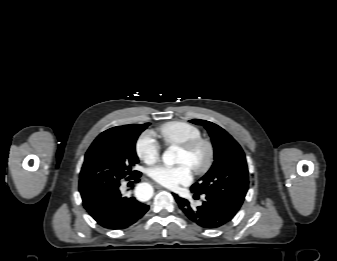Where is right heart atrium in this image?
Masks as SVG:
<instances>
[{
  "instance_id": "right-heart-atrium-1",
  "label": "right heart atrium",
  "mask_w": 337,
  "mask_h": 261,
  "mask_svg": "<svg viewBox=\"0 0 337 261\" xmlns=\"http://www.w3.org/2000/svg\"><path fill=\"white\" fill-rule=\"evenodd\" d=\"M137 156L146 164H154L160 156V145L150 131L140 135L136 142Z\"/></svg>"
}]
</instances>
